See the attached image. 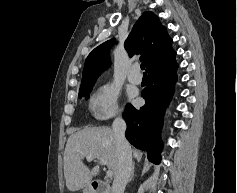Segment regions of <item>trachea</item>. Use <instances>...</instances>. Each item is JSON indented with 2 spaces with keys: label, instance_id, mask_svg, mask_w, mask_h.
Returning <instances> with one entry per match:
<instances>
[{
  "label": "trachea",
  "instance_id": "1",
  "mask_svg": "<svg viewBox=\"0 0 237 193\" xmlns=\"http://www.w3.org/2000/svg\"><path fill=\"white\" fill-rule=\"evenodd\" d=\"M140 68H141L142 70H144V69H145V64L142 63V64L140 65Z\"/></svg>",
  "mask_w": 237,
  "mask_h": 193
}]
</instances>
